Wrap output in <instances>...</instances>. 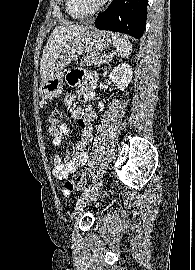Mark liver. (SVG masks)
Masks as SVG:
<instances>
[{"mask_svg":"<svg viewBox=\"0 0 195 270\" xmlns=\"http://www.w3.org/2000/svg\"><path fill=\"white\" fill-rule=\"evenodd\" d=\"M87 29H89V26L87 25H74L72 23H64L62 25H58L53 30L46 43V46L44 47L40 62V75L42 82L46 78L49 69L60 58L61 53H63L68 42Z\"/></svg>","mask_w":195,"mask_h":270,"instance_id":"obj_1","label":"liver"}]
</instances>
